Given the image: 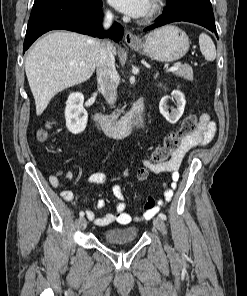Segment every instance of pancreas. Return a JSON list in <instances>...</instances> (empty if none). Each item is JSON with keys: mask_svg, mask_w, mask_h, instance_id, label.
Instances as JSON below:
<instances>
[{"mask_svg": "<svg viewBox=\"0 0 247 296\" xmlns=\"http://www.w3.org/2000/svg\"><path fill=\"white\" fill-rule=\"evenodd\" d=\"M177 76L183 77L184 79H187L191 81L193 79V69L189 65H180L179 69L174 72ZM119 112V111H118ZM115 116V115H114Z\"/></svg>", "mask_w": 247, "mask_h": 296, "instance_id": "1", "label": "pancreas"}]
</instances>
